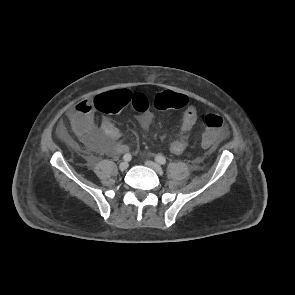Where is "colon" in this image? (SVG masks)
Masks as SVG:
<instances>
[{
  "label": "colon",
  "instance_id": "colon-1",
  "mask_svg": "<svg viewBox=\"0 0 295 295\" xmlns=\"http://www.w3.org/2000/svg\"><path fill=\"white\" fill-rule=\"evenodd\" d=\"M187 101L185 95L172 91L157 92L150 99L141 92L132 93L128 89H117L96 96L92 106L103 113H116L131 105L137 112L145 113L151 104L158 110L181 109L186 106ZM204 123L201 144L210 147L223 135L225 123L221 116L214 113L207 114Z\"/></svg>",
  "mask_w": 295,
  "mask_h": 295
}]
</instances>
